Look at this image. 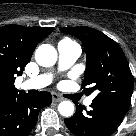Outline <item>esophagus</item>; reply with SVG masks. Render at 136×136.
I'll return each instance as SVG.
<instances>
[{
	"label": "esophagus",
	"instance_id": "1",
	"mask_svg": "<svg viewBox=\"0 0 136 136\" xmlns=\"http://www.w3.org/2000/svg\"><path fill=\"white\" fill-rule=\"evenodd\" d=\"M52 99L54 102H60L63 100L62 97H60L58 94H55V93L52 94Z\"/></svg>",
	"mask_w": 136,
	"mask_h": 136
}]
</instances>
